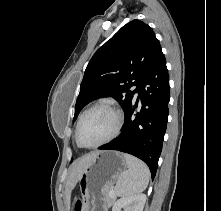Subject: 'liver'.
I'll return each mask as SVG.
<instances>
[{
	"mask_svg": "<svg viewBox=\"0 0 221 211\" xmlns=\"http://www.w3.org/2000/svg\"><path fill=\"white\" fill-rule=\"evenodd\" d=\"M98 154V152H92L87 154L81 158H78L73 162L70 167L68 179L66 182V198H67V205L70 208V199H71V192L75 188L79 178L83 172V170L91 163L94 157Z\"/></svg>",
	"mask_w": 221,
	"mask_h": 211,
	"instance_id": "obj_1",
	"label": "liver"
}]
</instances>
